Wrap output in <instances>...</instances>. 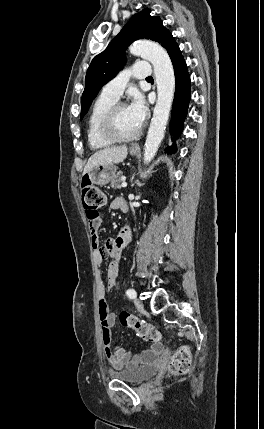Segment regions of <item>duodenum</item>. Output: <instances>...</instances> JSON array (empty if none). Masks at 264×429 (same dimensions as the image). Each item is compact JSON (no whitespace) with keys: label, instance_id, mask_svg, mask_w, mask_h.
I'll list each match as a JSON object with an SVG mask.
<instances>
[{"label":"duodenum","instance_id":"410a0bca","mask_svg":"<svg viewBox=\"0 0 264 429\" xmlns=\"http://www.w3.org/2000/svg\"><path fill=\"white\" fill-rule=\"evenodd\" d=\"M120 210H121L122 212H127V210H128V206H127L126 202H124V203H122V204H121V206H120Z\"/></svg>","mask_w":264,"mask_h":429}]
</instances>
